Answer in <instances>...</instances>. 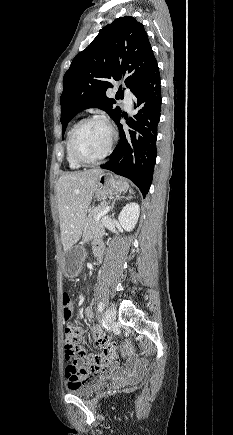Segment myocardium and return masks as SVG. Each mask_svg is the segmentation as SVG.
I'll return each instance as SVG.
<instances>
[{
  "mask_svg": "<svg viewBox=\"0 0 233 435\" xmlns=\"http://www.w3.org/2000/svg\"><path fill=\"white\" fill-rule=\"evenodd\" d=\"M90 122H98V123L104 124L108 128L109 134H110L109 142H108V145H107L105 152L95 160L84 159L81 156V154L79 153V151L77 149V145H76V136H77L79 129L84 124L90 123ZM115 140H116V132H115L114 128L112 127V125L108 122V120H106L105 118H103L101 116H89V117L83 118V119L79 120L74 125L72 132H71V135H70V150H71L72 157L81 166L97 165L109 156V154L112 151V147L114 145Z\"/></svg>",
  "mask_w": 233,
  "mask_h": 435,
  "instance_id": "obj_1",
  "label": "myocardium"
}]
</instances>
